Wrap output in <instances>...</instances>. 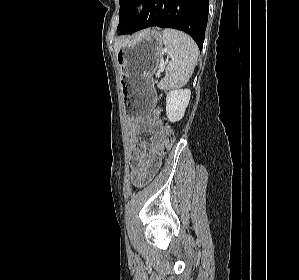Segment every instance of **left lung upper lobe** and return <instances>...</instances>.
<instances>
[{
    "instance_id": "5c2ea615",
    "label": "left lung upper lobe",
    "mask_w": 299,
    "mask_h": 280,
    "mask_svg": "<svg viewBox=\"0 0 299 280\" xmlns=\"http://www.w3.org/2000/svg\"><path fill=\"white\" fill-rule=\"evenodd\" d=\"M138 0H120V18L117 30H125L133 20L136 2Z\"/></svg>"
}]
</instances>
